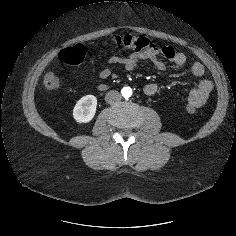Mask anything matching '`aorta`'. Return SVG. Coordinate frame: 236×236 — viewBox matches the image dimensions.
Wrapping results in <instances>:
<instances>
[{
  "instance_id": "aorta-1",
  "label": "aorta",
  "mask_w": 236,
  "mask_h": 236,
  "mask_svg": "<svg viewBox=\"0 0 236 236\" xmlns=\"http://www.w3.org/2000/svg\"><path fill=\"white\" fill-rule=\"evenodd\" d=\"M121 93L123 97L129 98L132 95V89L130 87H123Z\"/></svg>"
}]
</instances>
